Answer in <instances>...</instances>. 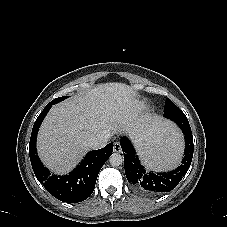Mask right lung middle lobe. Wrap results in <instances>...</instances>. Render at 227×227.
<instances>
[{"mask_svg": "<svg viewBox=\"0 0 227 227\" xmlns=\"http://www.w3.org/2000/svg\"><path fill=\"white\" fill-rule=\"evenodd\" d=\"M67 97L68 96H63V97L56 98V99L52 100L50 103H52V105L56 104V103H58V102H60V101H62L64 99H66Z\"/></svg>", "mask_w": 227, "mask_h": 227, "instance_id": "obj_1", "label": "right lung middle lobe"}]
</instances>
